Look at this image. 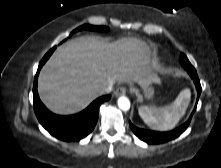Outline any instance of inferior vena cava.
<instances>
[{
  "instance_id": "602c4592",
  "label": "inferior vena cava",
  "mask_w": 221,
  "mask_h": 168,
  "mask_svg": "<svg viewBox=\"0 0 221 168\" xmlns=\"http://www.w3.org/2000/svg\"><path fill=\"white\" fill-rule=\"evenodd\" d=\"M112 89H113V86L109 85V86L103 88L100 93H101V95L102 94H108V93H110L112 91Z\"/></svg>"
}]
</instances>
